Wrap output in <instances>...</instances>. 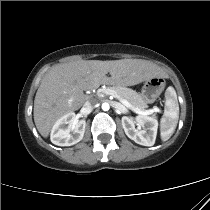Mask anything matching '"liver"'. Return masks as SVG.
<instances>
[{
	"mask_svg": "<svg viewBox=\"0 0 210 210\" xmlns=\"http://www.w3.org/2000/svg\"><path fill=\"white\" fill-rule=\"evenodd\" d=\"M110 74L107 77L106 74ZM162 74L142 59L78 60L53 67L42 79L34 100V122L43 137L63 115L80 109L85 90L101 84L133 86Z\"/></svg>",
	"mask_w": 210,
	"mask_h": 210,
	"instance_id": "1",
	"label": "liver"
}]
</instances>
